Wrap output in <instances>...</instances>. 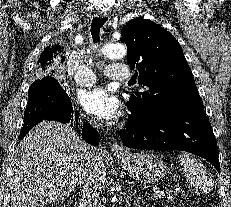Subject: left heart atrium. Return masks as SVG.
I'll list each match as a JSON object with an SVG mask.
<instances>
[{
    "label": "left heart atrium",
    "instance_id": "1",
    "mask_svg": "<svg viewBox=\"0 0 231 207\" xmlns=\"http://www.w3.org/2000/svg\"><path fill=\"white\" fill-rule=\"evenodd\" d=\"M79 103L88 114L103 120H113L120 114L119 100L102 87L80 92Z\"/></svg>",
    "mask_w": 231,
    "mask_h": 207
}]
</instances>
